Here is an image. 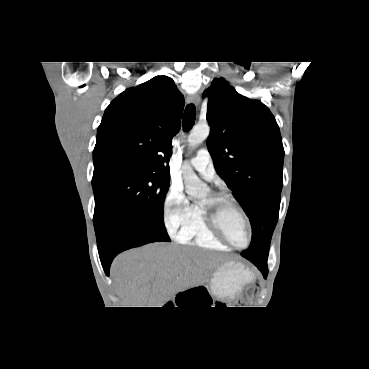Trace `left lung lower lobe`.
Returning <instances> with one entry per match:
<instances>
[{
  "instance_id": "obj_1",
  "label": "left lung lower lobe",
  "mask_w": 369,
  "mask_h": 369,
  "mask_svg": "<svg viewBox=\"0 0 369 369\" xmlns=\"http://www.w3.org/2000/svg\"><path fill=\"white\" fill-rule=\"evenodd\" d=\"M250 261L258 267V269L262 272L264 278H266L268 274L267 262L255 259H251Z\"/></svg>"
}]
</instances>
